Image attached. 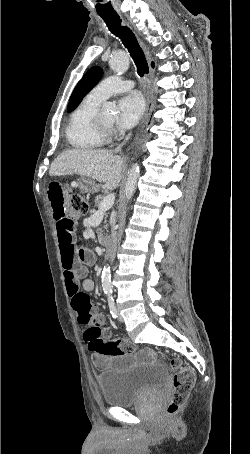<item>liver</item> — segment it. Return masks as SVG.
<instances>
[{"mask_svg":"<svg viewBox=\"0 0 250 454\" xmlns=\"http://www.w3.org/2000/svg\"><path fill=\"white\" fill-rule=\"evenodd\" d=\"M124 158L103 149H72L61 153L51 164L49 175H80L105 183L104 188L118 187L124 169Z\"/></svg>","mask_w":250,"mask_h":454,"instance_id":"1","label":"liver"}]
</instances>
